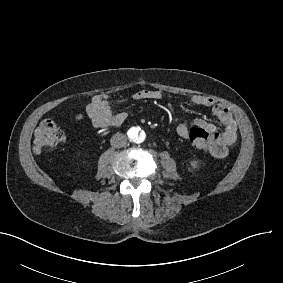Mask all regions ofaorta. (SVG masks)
Instances as JSON below:
<instances>
[{
	"label": "aorta",
	"instance_id": "762f6f07",
	"mask_svg": "<svg viewBox=\"0 0 283 283\" xmlns=\"http://www.w3.org/2000/svg\"><path fill=\"white\" fill-rule=\"evenodd\" d=\"M128 137L134 143H142L146 138V133L140 127H131L128 130Z\"/></svg>",
	"mask_w": 283,
	"mask_h": 283
}]
</instances>
